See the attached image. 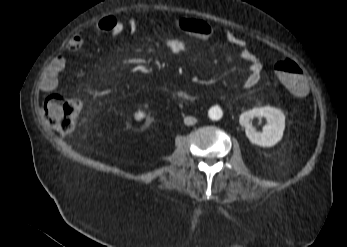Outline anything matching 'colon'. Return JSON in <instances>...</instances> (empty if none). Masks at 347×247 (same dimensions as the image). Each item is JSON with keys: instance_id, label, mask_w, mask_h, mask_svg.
<instances>
[{"instance_id": "colon-1", "label": "colon", "mask_w": 347, "mask_h": 247, "mask_svg": "<svg viewBox=\"0 0 347 247\" xmlns=\"http://www.w3.org/2000/svg\"><path fill=\"white\" fill-rule=\"evenodd\" d=\"M274 74L290 92L296 96H304L308 84L301 67L291 59H283L274 65ZM82 108L78 99L66 98L59 94H51L45 100V114L48 123L60 133L74 130Z\"/></svg>"}]
</instances>
